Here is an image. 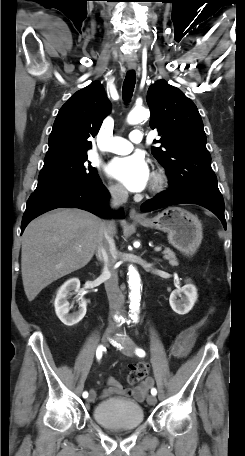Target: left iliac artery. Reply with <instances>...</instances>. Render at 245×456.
I'll use <instances>...</instances> for the list:
<instances>
[{
  "mask_svg": "<svg viewBox=\"0 0 245 456\" xmlns=\"http://www.w3.org/2000/svg\"><path fill=\"white\" fill-rule=\"evenodd\" d=\"M135 353H136L139 357H144V356H145V351H144L143 349H141V348H137V349L135 350ZM151 394L154 395V396L157 394L156 388H152V389H151Z\"/></svg>",
  "mask_w": 245,
  "mask_h": 456,
  "instance_id": "44dca946",
  "label": "left iliac artery"
}]
</instances>
